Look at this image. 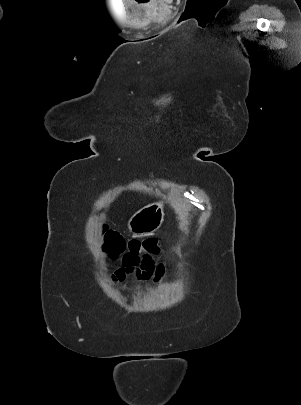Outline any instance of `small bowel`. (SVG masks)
Masks as SVG:
<instances>
[{"label":"small bowel","mask_w":301,"mask_h":405,"mask_svg":"<svg viewBox=\"0 0 301 405\" xmlns=\"http://www.w3.org/2000/svg\"><path fill=\"white\" fill-rule=\"evenodd\" d=\"M164 274L162 263H156L151 256H125L122 258L121 266L112 274V281L118 283L126 277L133 275L138 281L146 282L152 279L158 282ZM141 289L142 287H138ZM147 289V287H144Z\"/></svg>","instance_id":"small-bowel-1"}]
</instances>
